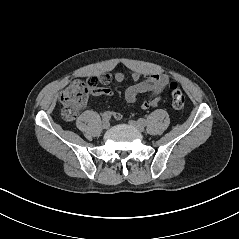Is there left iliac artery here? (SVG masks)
Instances as JSON below:
<instances>
[{"label": "left iliac artery", "mask_w": 239, "mask_h": 239, "mask_svg": "<svg viewBox=\"0 0 239 239\" xmlns=\"http://www.w3.org/2000/svg\"><path fill=\"white\" fill-rule=\"evenodd\" d=\"M138 121H139V123H141L144 126L147 124V121L143 118H140Z\"/></svg>", "instance_id": "obj_1"}]
</instances>
